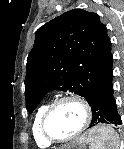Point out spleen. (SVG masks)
I'll list each match as a JSON object with an SVG mask.
<instances>
[{"label": "spleen", "mask_w": 124, "mask_h": 149, "mask_svg": "<svg viewBox=\"0 0 124 149\" xmlns=\"http://www.w3.org/2000/svg\"><path fill=\"white\" fill-rule=\"evenodd\" d=\"M97 127L101 128H97L95 135L88 139L89 149H119V137L114 130L104 126Z\"/></svg>", "instance_id": "obj_1"}]
</instances>
